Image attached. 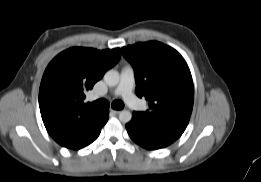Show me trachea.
I'll return each mask as SVG.
<instances>
[{
	"instance_id": "1",
	"label": "trachea",
	"mask_w": 261,
	"mask_h": 182,
	"mask_svg": "<svg viewBox=\"0 0 261 182\" xmlns=\"http://www.w3.org/2000/svg\"><path fill=\"white\" fill-rule=\"evenodd\" d=\"M89 106L98 109H105L109 107V103L105 99H99L93 103H89ZM112 108L116 110H121L124 108V103L121 100H115L112 102Z\"/></svg>"
}]
</instances>
